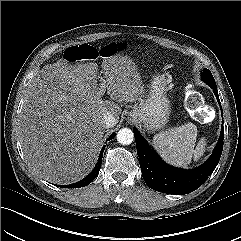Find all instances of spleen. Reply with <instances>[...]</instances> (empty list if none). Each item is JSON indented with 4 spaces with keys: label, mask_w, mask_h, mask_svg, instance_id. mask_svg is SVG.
Masks as SVG:
<instances>
[{
    "label": "spleen",
    "mask_w": 241,
    "mask_h": 241,
    "mask_svg": "<svg viewBox=\"0 0 241 241\" xmlns=\"http://www.w3.org/2000/svg\"><path fill=\"white\" fill-rule=\"evenodd\" d=\"M196 137L197 127L193 123H186L156 134L153 144L164 161L187 168L192 159L199 160L205 152V139H200L195 147Z\"/></svg>",
    "instance_id": "1"
}]
</instances>
